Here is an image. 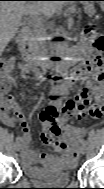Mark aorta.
<instances>
[{"instance_id":"aorta-1","label":"aorta","mask_w":104,"mask_h":189,"mask_svg":"<svg viewBox=\"0 0 104 189\" xmlns=\"http://www.w3.org/2000/svg\"><path fill=\"white\" fill-rule=\"evenodd\" d=\"M67 35H57V43L55 44L56 51L61 60H64L69 55L68 45L66 44ZM66 64L64 61H59L56 66V75H65ZM60 81V80H59Z\"/></svg>"}]
</instances>
